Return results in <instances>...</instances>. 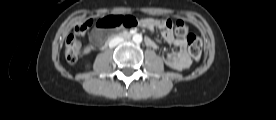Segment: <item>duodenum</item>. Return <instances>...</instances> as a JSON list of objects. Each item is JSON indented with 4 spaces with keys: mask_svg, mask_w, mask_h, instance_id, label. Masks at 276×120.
I'll return each mask as SVG.
<instances>
[{
    "mask_svg": "<svg viewBox=\"0 0 276 120\" xmlns=\"http://www.w3.org/2000/svg\"><path fill=\"white\" fill-rule=\"evenodd\" d=\"M136 35V32H129V31H124V32H119V33H116L114 34L110 40H114V39H117V38H121V39H129L131 38L132 36ZM145 43L146 44H149L150 43V40L149 39H145Z\"/></svg>",
    "mask_w": 276,
    "mask_h": 120,
    "instance_id": "1",
    "label": "duodenum"
}]
</instances>
